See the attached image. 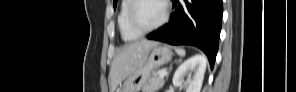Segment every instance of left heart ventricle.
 <instances>
[{"instance_id":"left-heart-ventricle-1","label":"left heart ventricle","mask_w":296,"mask_h":92,"mask_svg":"<svg viewBox=\"0 0 296 92\" xmlns=\"http://www.w3.org/2000/svg\"><path fill=\"white\" fill-rule=\"evenodd\" d=\"M163 7L159 1H143L138 6L135 18L137 23L143 28L155 25L162 17Z\"/></svg>"}]
</instances>
